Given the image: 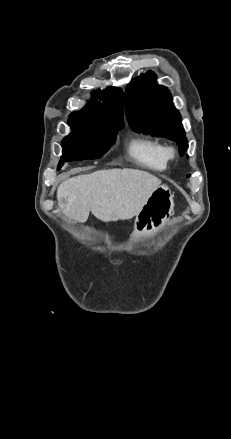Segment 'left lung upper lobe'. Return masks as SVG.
I'll return each mask as SVG.
<instances>
[{"label": "left lung upper lobe", "mask_w": 231, "mask_h": 439, "mask_svg": "<svg viewBox=\"0 0 231 439\" xmlns=\"http://www.w3.org/2000/svg\"><path fill=\"white\" fill-rule=\"evenodd\" d=\"M155 82L154 73L149 71L127 86L125 92L127 120L132 129L138 133L165 137L176 142L182 156L188 144L181 116L172 103L170 91Z\"/></svg>", "instance_id": "1"}]
</instances>
